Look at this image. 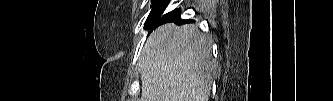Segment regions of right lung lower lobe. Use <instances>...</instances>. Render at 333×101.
I'll return each mask as SVG.
<instances>
[{"mask_svg": "<svg viewBox=\"0 0 333 101\" xmlns=\"http://www.w3.org/2000/svg\"><path fill=\"white\" fill-rule=\"evenodd\" d=\"M169 0H155L153 1V6L150 14L147 17L145 22V28L149 29L154 26V28L158 27L161 24L167 22H174L178 25L183 24L185 22H190V20H181L180 15L181 11L176 9L171 11L170 13L161 17L162 13L166 9ZM153 30V28H152Z\"/></svg>", "mask_w": 333, "mask_h": 101, "instance_id": "98d812e1", "label": "right lung lower lobe"}]
</instances>
